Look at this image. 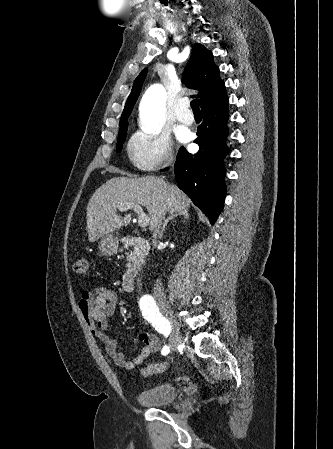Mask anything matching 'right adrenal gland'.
<instances>
[{
  "mask_svg": "<svg viewBox=\"0 0 333 449\" xmlns=\"http://www.w3.org/2000/svg\"><path fill=\"white\" fill-rule=\"evenodd\" d=\"M177 216H183L185 219H189V213H188L187 210L179 211V212H177V213H175V214H172L171 216H169V217L165 220V222H164V224H163V226H162V230H161V233H160V234H163V232L165 231V228H166L168 222H169L170 220H173V219L176 218Z\"/></svg>",
  "mask_w": 333,
  "mask_h": 449,
  "instance_id": "1",
  "label": "right adrenal gland"
}]
</instances>
